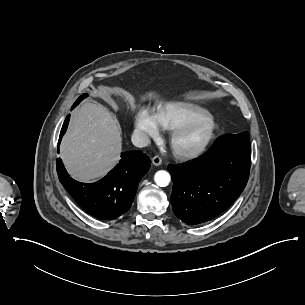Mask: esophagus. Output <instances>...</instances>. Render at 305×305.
<instances>
[{"instance_id":"34e87169","label":"esophagus","mask_w":305,"mask_h":305,"mask_svg":"<svg viewBox=\"0 0 305 305\" xmlns=\"http://www.w3.org/2000/svg\"><path fill=\"white\" fill-rule=\"evenodd\" d=\"M152 162L155 166H160L162 164V159L160 156H154Z\"/></svg>"}]
</instances>
